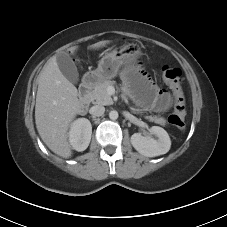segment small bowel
<instances>
[{
  "mask_svg": "<svg viewBox=\"0 0 227 227\" xmlns=\"http://www.w3.org/2000/svg\"><path fill=\"white\" fill-rule=\"evenodd\" d=\"M121 80L125 90L133 92L141 105L158 112L166 111L171 106L169 93L152 84L139 66L133 65L124 69Z\"/></svg>",
  "mask_w": 227,
  "mask_h": 227,
  "instance_id": "c3829d8e",
  "label": "small bowel"
}]
</instances>
